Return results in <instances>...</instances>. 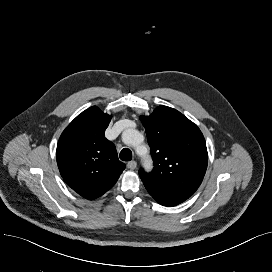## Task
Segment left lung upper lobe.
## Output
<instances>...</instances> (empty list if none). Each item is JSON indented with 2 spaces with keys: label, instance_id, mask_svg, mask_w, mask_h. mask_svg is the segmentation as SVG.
<instances>
[{
  "label": "left lung upper lobe",
  "instance_id": "1",
  "mask_svg": "<svg viewBox=\"0 0 272 272\" xmlns=\"http://www.w3.org/2000/svg\"><path fill=\"white\" fill-rule=\"evenodd\" d=\"M146 130L154 168L139 170L143 183L191 196L200 186L208 153L200 129L179 111L158 106L149 116L140 117Z\"/></svg>",
  "mask_w": 272,
  "mask_h": 272
}]
</instances>
